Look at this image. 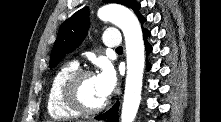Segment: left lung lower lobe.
Returning <instances> with one entry per match:
<instances>
[{
    "label": "left lung lower lobe",
    "mask_w": 221,
    "mask_h": 122,
    "mask_svg": "<svg viewBox=\"0 0 221 122\" xmlns=\"http://www.w3.org/2000/svg\"><path fill=\"white\" fill-rule=\"evenodd\" d=\"M139 8H140V5L138 3H135L132 9L138 16L141 23H143L146 21V19L139 13ZM143 34H144V39H145L146 53L148 54L152 50L151 46L146 42L147 37L150 36V32L147 29H144ZM147 69L148 70L150 69V64L148 62H147ZM118 109H119V101H117L115 105L111 109H109L107 112L96 116L95 119L107 120V122H118V116H117Z\"/></svg>",
    "instance_id": "0a47b994"
}]
</instances>
